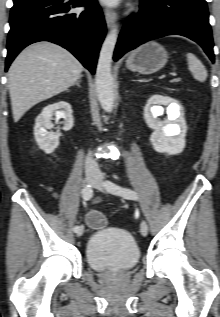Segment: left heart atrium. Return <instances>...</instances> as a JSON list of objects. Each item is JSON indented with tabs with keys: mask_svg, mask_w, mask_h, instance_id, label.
<instances>
[{
	"mask_svg": "<svg viewBox=\"0 0 220 317\" xmlns=\"http://www.w3.org/2000/svg\"><path fill=\"white\" fill-rule=\"evenodd\" d=\"M107 4H115L118 0H103Z\"/></svg>",
	"mask_w": 220,
	"mask_h": 317,
	"instance_id": "obj_1",
	"label": "left heart atrium"
}]
</instances>
